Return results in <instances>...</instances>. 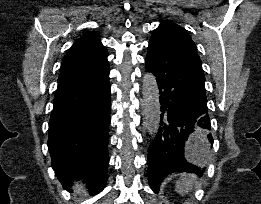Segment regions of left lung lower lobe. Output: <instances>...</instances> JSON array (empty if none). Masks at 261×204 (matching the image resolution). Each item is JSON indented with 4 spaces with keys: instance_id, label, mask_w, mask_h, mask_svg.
Masks as SVG:
<instances>
[{
    "instance_id": "0a47b994",
    "label": "left lung lower lobe",
    "mask_w": 261,
    "mask_h": 204,
    "mask_svg": "<svg viewBox=\"0 0 261 204\" xmlns=\"http://www.w3.org/2000/svg\"><path fill=\"white\" fill-rule=\"evenodd\" d=\"M146 69L157 80L161 117L158 133L148 150V180L157 193L166 175L202 171L189 162L191 145L202 138L213 143L205 77L197 53L175 36L152 35ZM202 154V153H201Z\"/></svg>"
}]
</instances>
